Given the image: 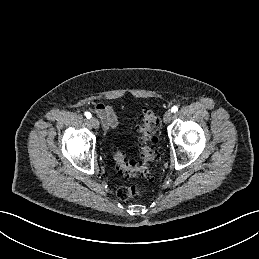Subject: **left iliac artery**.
I'll list each match as a JSON object with an SVG mask.
<instances>
[{"instance_id":"1","label":"left iliac artery","mask_w":259,"mask_h":259,"mask_svg":"<svg viewBox=\"0 0 259 259\" xmlns=\"http://www.w3.org/2000/svg\"><path fill=\"white\" fill-rule=\"evenodd\" d=\"M178 111V106H173L172 108H171V112L172 113H175V112H177Z\"/></svg>"}]
</instances>
